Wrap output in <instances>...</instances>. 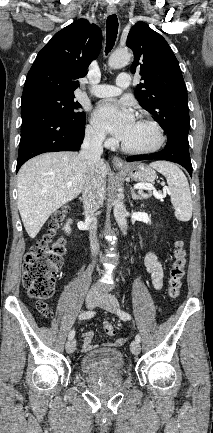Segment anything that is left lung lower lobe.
<instances>
[{
    "label": "left lung lower lobe",
    "mask_w": 213,
    "mask_h": 433,
    "mask_svg": "<svg viewBox=\"0 0 213 433\" xmlns=\"http://www.w3.org/2000/svg\"><path fill=\"white\" fill-rule=\"evenodd\" d=\"M148 159H160L178 163L182 165L192 176V164L189 155L188 141L180 137L167 138L165 148L157 153L148 155H136L127 158L128 162L141 161Z\"/></svg>",
    "instance_id": "1"
}]
</instances>
